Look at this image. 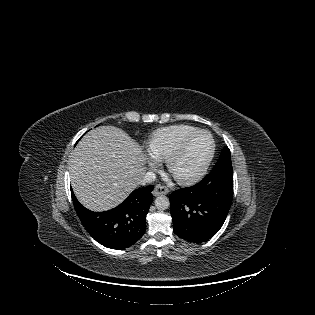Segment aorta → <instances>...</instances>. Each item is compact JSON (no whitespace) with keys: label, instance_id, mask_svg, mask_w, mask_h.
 <instances>
[{"label":"aorta","instance_id":"762f6f07","mask_svg":"<svg viewBox=\"0 0 315 315\" xmlns=\"http://www.w3.org/2000/svg\"><path fill=\"white\" fill-rule=\"evenodd\" d=\"M155 206L160 211L168 209L170 206L169 198L166 196H158L155 199Z\"/></svg>","mask_w":315,"mask_h":315}]
</instances>
